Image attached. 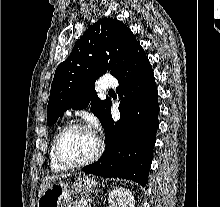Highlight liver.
I'll list each match as a JSON object with an SVG mask.
<instances>
[{
    "label": "liver",
    "mask_w": 220,
    "mask_h": 207,
    "mask_svg": "<svg viewBox=\"0 0 220 207\" xmlns=\"http://www.w3.org/2000/svg\"><path fill=\"white\" fill-rule=\"evenodd\" d=\"M68 175H52L47 176L45 178V181L41 184L40 190H39V197L44 193V191L50 186L51 182L59 180L61 178L67 177Z\"/></svg>",
    "instance_id": "obj_1"
}]
</instances>
